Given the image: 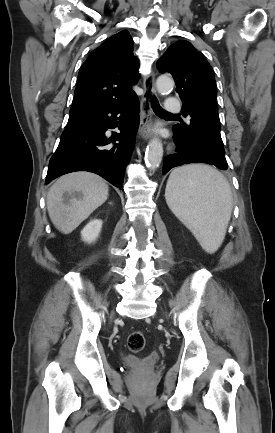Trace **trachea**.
<instances>
[{
  "label": "trachea",
  "mask_w": 275,
  "mask_h": 433,
  "mask_svg": "<svg viewBox=\"0 0 275 433\" xmlns=\"http://www.w3.org/2000/svg\"><path fill=\"white\" fill-rule=\"evenodd\" d=\"M151 102H152V107H153V110L155 113L167 115V116L178 117V115L170 114V113H167L166 111H164L162 109V107L160 106L156 97H153Z\"/></svg>",
  "instance_id": "obj_1"
}]
</instances>
